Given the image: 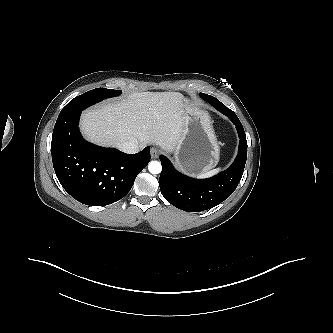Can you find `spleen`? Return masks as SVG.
<instances>
[{
	"label": "spleen",
	"instance_id": "3e777b00",
	"mask_svg": "<svg viewBox=\"0 0 333 333\" xmlns=\"http://www.w3.org/2000/svg\"><path fill=\"white\" fill-rule=\"evenodd\" d=\"M220 170H221V168H217V169L207 171V172L199 175L198 178H208L210 176H213V175L217 174Z\"/></svg>",
	"mask_w": 333,
	"mask_h": 333
}]
</instances>
